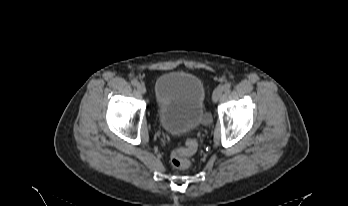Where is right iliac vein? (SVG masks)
I'll return each mask as SVG.
<instances>
[{
  "label": "right iliac vein",
  "instance_id": "right-iliac-vein-1",
  "mask_svg": "<svg viewBox=\"0 0 348 206\" xmlns=\"http://www.w3.org/2000/svg\"><path fill=\"white\" fill-rule=\"evenodd\" d=\"M137 90L140 94H145L146 93V87L144 84H138Z\"/></svg>",
  "mask_w": 348,
  "mask_h": 206
}]
</instances>
